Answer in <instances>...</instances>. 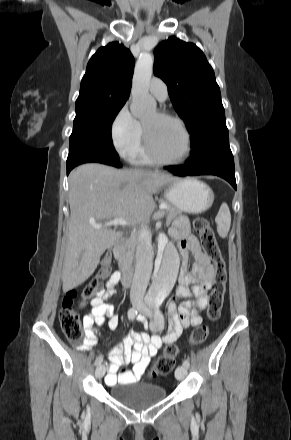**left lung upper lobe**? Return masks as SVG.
I'll use <instances>...</instances> for the list:
<instances>
[{"label":"left lung upper lobe","instance_id":"left-lung-upper-lobe-1","mask_svg":"<svg viewBox=\"0 0 291 440\" xmlns=\"http://www.w3.org/2000/svg\"><path fill=\"white\" fill-rule=\"evenodd\" d=\"M153 71L166 82L170 99L191 134V155L228 136L214 71L195 44L176 37L161 42L155 49Z\"/></svg>","mask_w":291,"mask_h":440}]
</instances>
